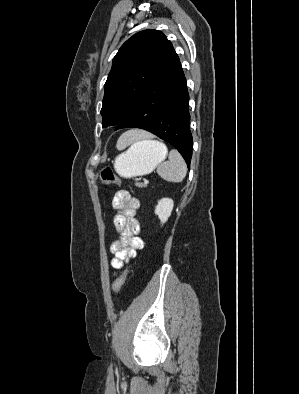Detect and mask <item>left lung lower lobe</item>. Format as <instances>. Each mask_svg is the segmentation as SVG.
Wrapping results in <instances>:
<instances>
[{"label":"left lung lower lobe","instance_id":"1","mask_svg":"<svg viewBox=\"0 0 299 394\" xmlns=\"http://www.w3.org/2000/svg\"><path fill=\"white\" fill-rule=\"evenodd\" d=\"M189 121L186 78L177 59L151 83L116 130L141 128L157 135L181 153L189 168L192 157Z\"/></svg>","mask_w":299,"mask_h":394}]
</instances>
